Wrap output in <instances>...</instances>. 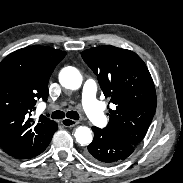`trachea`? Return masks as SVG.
Masks as SVG:
<instances>
[{
  "mask_svg": "<svg viewBox=\"0 0 183 183\" xmlns=\"http://www.w3.org/2000/svg\"><path fill=\"white\" fill-rule=\"evenodd\" d=\"M73 119V120H78L80 118V115L76 111H69L67 113L61 111V110H56L51 114V117L53 119H62L64 117Z\"/></svg>",
  "mask_w": 183,
  "mask_h": 183,
  "instance_id": "obj_1",
  "label": "trachea"
}]
</instances>
